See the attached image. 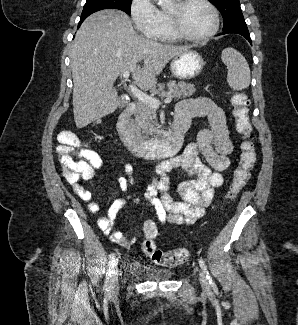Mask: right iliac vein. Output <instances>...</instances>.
Listing matches in <instances>:
<instances>
[{
    "mask_svg": "<svg viewBox=\"0 0 298 325\" xmlns=\"http://www.w3.org/2000/svg\"><path fill=\"white\" fill-rule=\"evenodd\" d=\"M108 287H109V293L111 295H115L118 292L119 279H118V271L117 270L113 272Z\"/></svg>",
    "mask_w": 298,
    "mask_h": 325,
    "instance_id": "63e3f726",
    "label": "right iliac vein"
}]
</instances>
